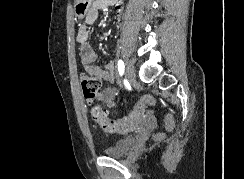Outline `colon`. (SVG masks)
Returning <instances> with one entry per match:
<instances>
[{
    "mask_svg": "<svg viewBox=\"0 0 244 179\" xmlns=\"http://www.w3.org/2000/svg\"><path fill=\"white\" fill-rule=\"evenodd\" d=\"M80 84L86 100L94 101L101 87L100 78L94 74L83 73L80 79ZM140 101L141 102H135L134 108L128 109L129 116L123 120L108 119L101 105L91 106V117L105 132H128L134 128L135 121L140 120L141 110H147V106L154 109L157 105L154 95H143V98H141ZM175 117L176 112H167L166 120H164V125H167L166 128L167 130H170L171 133L175 132Z\"/></svg>",
    "mask_w": 244,
    "mask_h": 179,
    "instance_id": "colon-1",
    "label": "colon"
}]
</instances>
